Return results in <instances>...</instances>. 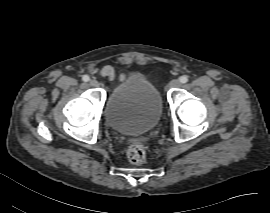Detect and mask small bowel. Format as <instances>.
I'll return each instance as SVG.
<instances>
[{"mask_svg": "<svg viewBox=\"0 0 270 213\" xmlns=\"http://www.w3.org/2000/svg\"><path fill=\"white\" fill-rule=\"evenodd\" d=\"M100 74L108 80H113L115 78V69L111 65H106L100 70Z\"/></svg>", "mask_w": 270, "mask_h": 213, "instance_id": "c3829d8e", "label": "small bowel"}]
</instances>
